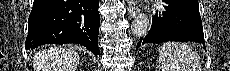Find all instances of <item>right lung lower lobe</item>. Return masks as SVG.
<instances>
[{"label":"right lung lower lobe","instance_id":"obj_1","mask_svg":"<svg viewBox=\"0 0 230 71\" xmlns=\"http://www.w3.org/2000/svg\"><path fill=\"white\" fill-rule=\"evenodd\" d=\"M99 0H34L26 50L44 44L78 43L100 56Z\"/></svg>","mask_w":230,"mask_h":71}]
</instances>
